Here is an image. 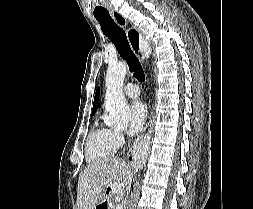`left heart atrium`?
Masks as SVG:
<instances>
[{
  "mask_svg": "<svg viewBox=\"0 0 253 209\" xmlns=\"http://www.w3.org/2000/svg\"><path fill=\"white\" fill-rule=\"evenodd\" d=\"M147 107L140 101H134L130 107L129 113V127L128 132L130 135L137 134L142 130L147 119Z\"/></svg>",
  "mask_w": 253,
  "mask_h": 209,
  "instance_id": "left-heart-atrium-1",
  "label": "left heart atrium"
}]
</instances>
